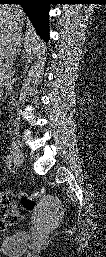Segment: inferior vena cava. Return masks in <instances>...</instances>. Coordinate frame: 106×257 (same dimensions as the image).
<instances>
[{"mask_svg": "<svg viewBox=\"0 0 106 257\" xmlns=\"http://www.w3.org/2000/svg\"><path fill=\"white\" fill-rule=\"evenodd\" d=\"M20 42L21 28L15 22L14 26H10L9 33L0 48V76L4 80L6 91L12 100V65Z\"/></svg>", "mask_w": 106, "mask_h": 257, "instance_id": "inferior-vena-cava-1", "label": "inferior vena cava"}]
</instances>
